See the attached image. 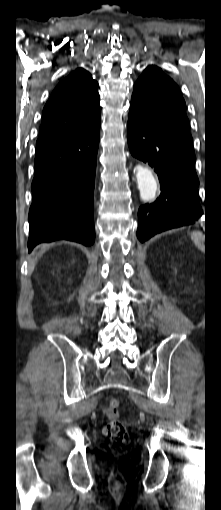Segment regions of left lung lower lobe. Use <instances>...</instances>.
Wrapping results in <instances>:
<instances>
[{"label":"left lung lower lobe","instance_id":"0a47b994","mask_svg":"<svg viewBox=\"0 0 221 510\" xmlns=\"http://www.w3.org/2000/svg\"><path fill=\"white\" fill-rule=\"evenodd\" d=\"M128 145L131 154L153 167L161 194L138 210L137 236L141 242L162 231L190 225L203 214L199 204L194 150L170 139L130 108Z\"/></svg>","mask_w":221,"mask_h":510}]
</instances>
